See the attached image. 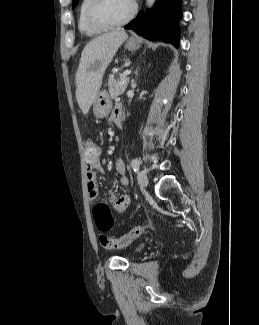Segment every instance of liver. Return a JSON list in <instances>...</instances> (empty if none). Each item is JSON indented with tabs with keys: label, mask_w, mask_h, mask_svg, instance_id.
<instances>
[{
	"label": "liver",
	"mask_w": 259,
	"mask_h": 325,
	"mask_svg": "<svg viewBox=\"0 0 259 325\" xmlns=\"http://www.w3.org/2000/svg\"><path fill=\"white\" fill-rule=\"evenodd\" d=\"M127 33L115 30L91 40L84 47L76 72V99L83 114H87L100 90L102 78Z\"/></svg>",
	"instance_id": "liver-1"
}]
</instances>
